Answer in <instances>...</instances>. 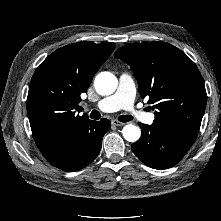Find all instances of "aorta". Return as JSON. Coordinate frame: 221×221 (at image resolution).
Here are the masks:
<instances>
[{
  "instance_id": "1",
  "label": "aorta",
  "mask_w": 221,
  "mask_h": 221,
  "mask_svg": "<svg viewBox=\"0 0 221 221\" xmlns=\"http://www.w3.org/2000/svg\"><path fill=\"white\" fill-rule=\"evenodd\" d=\"M117 85V78L110 72L99 73L94 81L95 89L100 95H110L114 93ZM122 133L124 139L129 142H136L141 136L140 128L133 124L125 125Z\"/></svg>"
}]
</instances>
